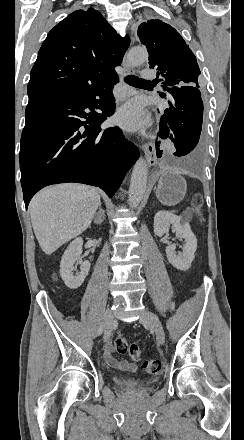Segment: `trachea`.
<instances>
[{"label": "trachea", "mask_w": 244, "mask_h": 440, "mask_svg": "<svg viewBox=\"0 0 244 440\" xmlns=\"http://www.w3.org/2000/svg\"><path fill=\"white\" fill-rule=\"evenodd\" d=\"M126 83L132 85L133 87H139L143 83H153L150 80H144V78L136 77L135 75H129L125 78Z\"/></svg>", "instance_id": "trachea-1"}]
</instances>
